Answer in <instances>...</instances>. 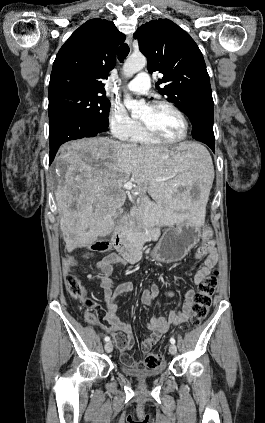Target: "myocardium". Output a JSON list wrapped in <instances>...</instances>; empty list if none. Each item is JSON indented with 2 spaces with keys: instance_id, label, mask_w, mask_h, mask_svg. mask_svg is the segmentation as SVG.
I'll use <instances>...</instances> for the list:
<instances>
[{
  "instance_id": "1",
  "label": "myocardium",
  "mask_w": 265,
  "mask_h": 423,
  "mask_svg": "<svg viewBox=\"0 0 265 423\" xmlns=\"http://www.w3.org/2000/svg\"><path fill=\"white\" fill-rule=\"evenodd\" d=\"M149 107L151 109H158V108L166 107V108H169L172 111H174L181 118L183 125H184V131H183V134L180 138H178V139H168V138L163 137L159 133H157L148 124L140 121L141 128L147 136H149L150 138H152V139H154V140H156L160 143H164V144H178V143H181L182 141H184L187 138L190 125H189V121H188L186 115L184 114V112L180 108H178L176 105H174L170 102H167V101H156V102L151 103L149 105Z\"/></svg>"
}]
</instances>
